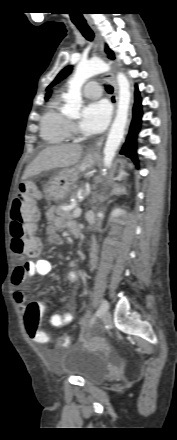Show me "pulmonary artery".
Returning a JSON list of instances; mask_svg holds the SVG:
<instances>
[{
  "label": "pulmonary artery",
  "mask_w": 177,
  "mask_h": 440,
  "mask_svg": "<svg viewBox=\"0 0 177 440\" xmlns=\"http://www.w3.org/2000/svg\"><path fill=\"white\" fill-rule=\"evenodd\" d=\"M83 93L85 97L95 99L101 96L102 89L98 82L90 81L84 86Z\"/></svg>",
  "instance_id": "1"
}]
</instances>
